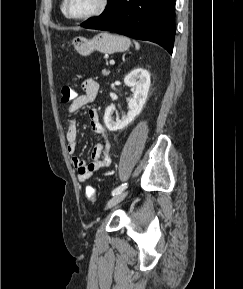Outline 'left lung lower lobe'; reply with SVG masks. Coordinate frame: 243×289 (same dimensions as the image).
Wrapping results in <instances>:
<instances>
[{
    "instance_id": "left-lung-lower-lobe-1",
    "label": "left lung lower lobe",
    "mask_w": 243,
    "mask_h": 289,
    "mask_svg": "<svg viewBox=\"0 0 243 289\" xmlns=\"http://www.w3.org/2000/svg\"><path fill=\"white\" fill-rule=\"evenodd\" d=\"M176 0H108L104 12L81 26L157 43L170 54L175 38Z\"/></svg>"
}]
</instances>
